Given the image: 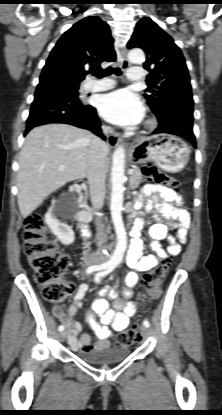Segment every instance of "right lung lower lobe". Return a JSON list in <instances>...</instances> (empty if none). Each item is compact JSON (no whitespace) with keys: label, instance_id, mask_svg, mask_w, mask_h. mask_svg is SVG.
<instances>
[{"label":"right lung lower lobe","instance_id":"obj_1","mask_svg":"<svg viewBox=\"0 0 222 415\" xmlns=\"http://www.w3.org/2000/svg\"><path fill=\"white\" fill-rule=\"evenodd\" d=\"M51 122L85 128L106 139L102 134L95 108L81 103L78 95L71 92L69 80L58 75L46 74L40 77L25 134L38 125Z\"/></svg>","mask_w":222,"mask_h":415}]
</instances>
